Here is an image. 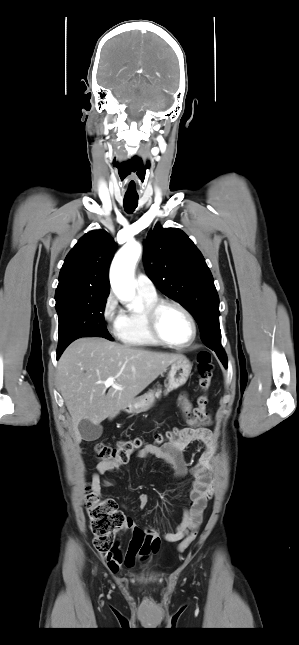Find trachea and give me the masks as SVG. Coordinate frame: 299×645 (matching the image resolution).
<instances>
[{
    "mask_svg": "<svg viewBox=\"0 0 299 645\" xmlns=\"http://www.w3.org/2000/svg\"><path fill=\"white\" fill-rule=\"evenodd\" d=\"M138 206V196H125L124 209L127 213H132Z\"/></svg>",
    "mask_w": 299,
    "mask_h": 645,
    "instance_id": "obj_1",
    "label": "trachea"
}]
</instances>
